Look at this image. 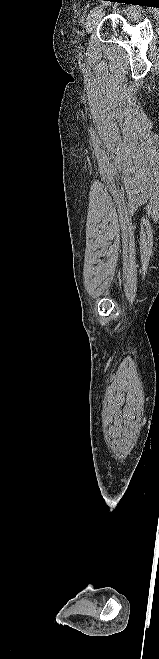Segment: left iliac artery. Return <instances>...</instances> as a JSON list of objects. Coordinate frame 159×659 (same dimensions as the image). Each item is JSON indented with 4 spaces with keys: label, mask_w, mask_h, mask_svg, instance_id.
Listing matches in <instances>:
<instances>
[{
    "label": "left iliac artery",
    "mask_w": 159,
    "mask_h": 659,
    "mask_svg": "<svg viewBox=\"0 0 159 659\" xmlns=\"http://www.w3.org/2000/svg\"><path fill=\"white\" fill-rule=\"evenodd\" d=\"M102 8H103V5H98V6L94 7V8L89 12V14H88V18H90L93 14H95L96 12H98V11H99L100 9H102Z\"/></svg>",
    "instance_id": "1"
}]
</instances>
